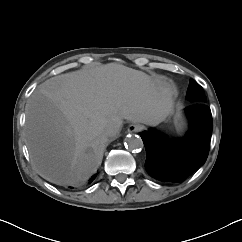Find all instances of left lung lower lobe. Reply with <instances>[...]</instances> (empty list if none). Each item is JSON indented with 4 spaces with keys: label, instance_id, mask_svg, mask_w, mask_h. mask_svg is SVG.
<instances>
[{
    "label": "left lung lower lobe",
    "instance_id": "left-lung-lower-lobe-1",
    "mask_svg": "<svg viewBox=\"0 0 242 242\" xmlns=\"http://www.w3.org/2000/svg\"><path fill=\"white\" fill-rule=\"evenodd\" d=\"M190 130L180 142L149 129L141 134L146 149L145 168L155 179L182 182L207 159L212 133L211 110L205 103H194L185 108Z\"/></svg>",
    "mask_w": 242,
    "mask_h": 242
}]
</instances>
